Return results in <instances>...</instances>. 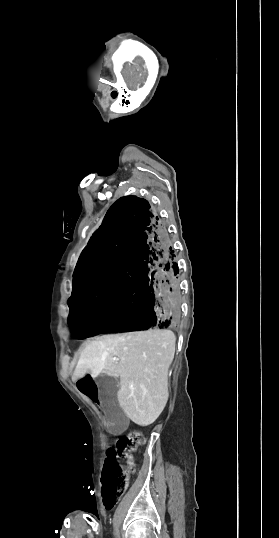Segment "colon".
I'll list each match as a JSON object with an SVG mask.
<instances>
[{"mask_svg": "<svg viewBox=\"0 0 279 538\" xmlns=\"http://www.w3.org/2000/svg\"><path fill=\"white\" fill-rule=\"evenodd\" d=\"M144 443V436L141 432L133 430L120 437L114 448L107 450V457L103 467L102 495L104 505L107 509H112L118 502L121 495L127 489L133 465L123 466L120 459L126 458L135 452Z\"/></svg>", "mask_w": 279, "mask_h": 538, "instance_id": "5ec220e1", "label": "colon"}]
</instances>
